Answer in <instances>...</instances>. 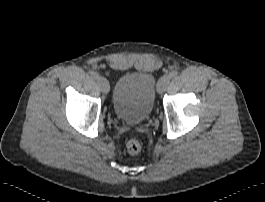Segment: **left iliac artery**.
Listing matches in <instances>:
<instances>
[{
  "instance_id": "left-iliac-artery-1",
  "label": "left iliac artery",
  "mask_w": 265,
  "mask_h": 202,
  "mask_svg": "<svg viewBox=\"0 0 265 202\" xmlns=\"http://www.w3.org/2000/svg\"><path fill=\"white\" fill-rule=\"evenodd\" d=\"M178 72L176 70H173L169 73L170 78H175L177 76Z\"/></svg>"
}]
</instances>
